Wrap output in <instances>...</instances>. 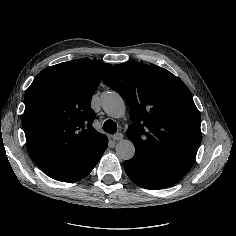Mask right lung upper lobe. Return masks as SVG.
Segmentation results:
<instances>
[{"instance_id":"cb5924a9","label":"right lung upper lobe","mask_w":236,"mask_h":236,"mask_svg":"<svg viewBox=\"0 0 236 236\" xmlns=\"http://www.w3.org/2000/svg\"><path fill=\"white\" fill-rule=\"evenodd\" d=\"M93 60H74L41 71L27 89L23 128L27 149L49 177L60 181L107 142L92 123L91 98L110 68Z\"/></svg>"}]
</instances>
